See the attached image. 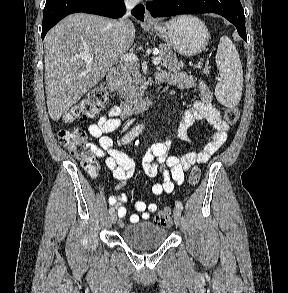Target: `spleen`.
Wrapping results in <instances>:
<instances>
[{
  "instance_id": "obj_1",
  "label": "spleen",
  "mask_w": 288,
  "mask_h": 293,
  "mask_svg": "<svg viewBox=\"0 0 288 293\" xmlns=\"http://www.w3.org/2000/svg\"><path fill=\"white\" fill-rule=\"evenodd\" d=\"M215 60L220 73L215 96L224 106H236L242 95L243 69L239 53L228 37L220 38Z\"/></svg>"
}]
</instances>
